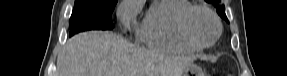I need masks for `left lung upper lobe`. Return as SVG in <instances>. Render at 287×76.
I'll return each mask as SVG.
<instances>
[{
    "instance_id": "obj_1",
    "label": "left lung upper lobe",
    "mask_w": 287,
    "mask_h": 76,
    "mask_svg": "<svg viewBox=\"0 0 287 76\" xmlns=\"http://www.w3.org/2000/svg\"><path fill=\"white\" fill-rule=\"evenodd\" d=\"M205 1L208 3H212L217 8V13L228 22V19H227L226 14H225L224 5H220V3L216 0H214V1L213 0H205Z\"/></svg>"
}]
</instances>
